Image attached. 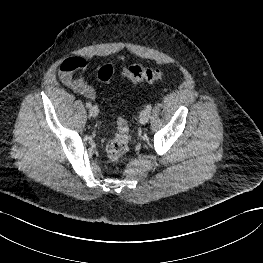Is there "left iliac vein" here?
<instances>
[{
    "label": "left iliac vein",
    "instance_id": "1",
    "mask_svg": "<svg viewBox=\"0 0 263 263\" xmlns=\"http://www.w3.org/2000/svg\"><path fill=\"white\" fill-rule=\"evenodd\" d=\"M149 117H150V112L148 110H143L139 116L140 123L146 124L149 120Z\"/></svg>",
    "mask_w": 263,
    "mask_h": 263
}]
</instances>
